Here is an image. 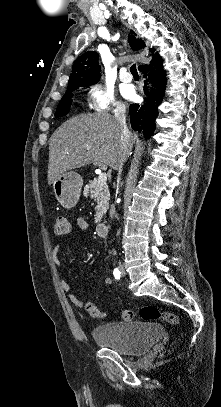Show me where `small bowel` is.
<instances>
[{"label": "small bowel", "instance_id": "1", "mask_svg": "<svg viewBox=\"0 0 221 407\" xmlns=\"http://www.w3.org/2000/svg\"><path fill=\"white\" fill-rule=\"evenodd\" d=\"M74 226L78 230H86L88 228V224H87L86 220L83 218L76 219ZM60 250H61V245L59 243H57L52 249V259L58 265L60 264V257H59ZM67 271L68 272L71 271L70 265L67 266ZM111 282H112V280L110 277L107 276L104 278L105 285H109V284H111ZM60 285H61L62 290L67 294V296H68L69 300L72 302V304H74L77 307H82L84 305V301L79 296H77L71 292V284H70L69 280H67V279L62 280Z\"/></svg>", "mask_w": 221, "mask_h": 407}]
</instances>
